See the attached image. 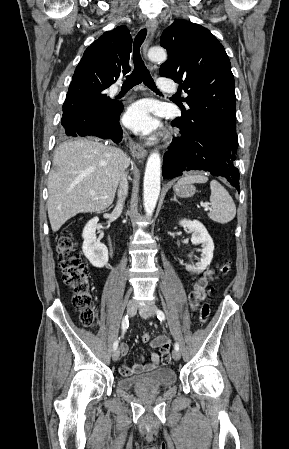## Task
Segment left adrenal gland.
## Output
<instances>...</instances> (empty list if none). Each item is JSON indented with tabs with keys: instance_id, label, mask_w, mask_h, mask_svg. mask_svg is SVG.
<instances>
[{
	"instance_id": "a2214340",
	"label": "left adrenal gland",
	"mask_w": 289,
	"mask_h": 449,
	"mask_svg": "<svg viewBox=\"0 0 289 449\" xmlns=\"http://www.w3.org/2000/svg\"><path fill=\"white\" fill-rule=\"evenodd\" d=\"M171 201H175V202L179 203V201L177 200L176 196H174V197L171 199ZM179 204H180V203H179Z\"/></svg>"
}]
</instances>
